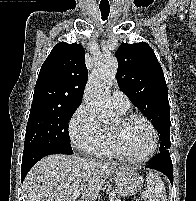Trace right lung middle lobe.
<instances>
[{
    "instance_id": "1",
    "label": "right lung middle lobe",
    "mask_w": 196,
    "mask_h": 201,
    "mask_svg": "<svg viewBox=\"0 0 196 201\" xmlns=\"http://www.w3.org/2000/svg\"><path fill=\"white\" fill-rule=\"evenodd\" d=\"M78 107L32 104L23 153L39 147H55L72 151L68 122Z\"/></svg>"
}]
</instances>
